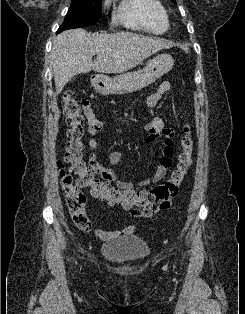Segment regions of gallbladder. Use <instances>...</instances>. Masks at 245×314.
I'll return each instance as SVG.
<instances>
[{
    "instance_id": "obj_1",
    "label": "gallbladder",
    "mask_w": 245,
    "mask_h": 314,
    "mask_svg": "<svg viewBox=\"0 0 245 314\" xmlns=\"http://www.w3.org/2000/svg\"><path fill=\"white\" fill-rule=\"evenodd\" d=\"M74 80V78H71L69 81H73Z\"/></svg>"
}]
</instances>
